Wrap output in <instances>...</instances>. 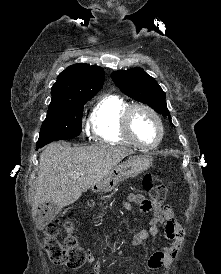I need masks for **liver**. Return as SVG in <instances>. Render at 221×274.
Instances as JSON below:
<instances>
[{"mask_svg":"<svg viewBox=\"0 0 221 274\" xmlns=\"http://www.w3.org/2000/svg\"><path fill=\"white\" fill-rule=\"evenodd\" d=\"M132 153L131 149L106 144H50L40 155L33 211L42 203H53L59 208L74 203ZM75 173L81 175L74 179Z\"/></svg>","mask_w":221,"mask_h":274,"instance_id":"6515ba94","label":"liver"}]
</instances>
